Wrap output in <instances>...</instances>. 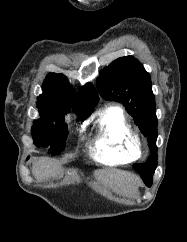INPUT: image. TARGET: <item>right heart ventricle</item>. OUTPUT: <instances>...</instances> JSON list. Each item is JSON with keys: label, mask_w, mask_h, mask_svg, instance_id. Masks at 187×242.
<instances>
[{"label": "right heart ventricle", "mask_w": 187, "mask_h": 242, "mask_svg": "<svg viewBox=\"0 0 187 242\" xmlns=\"http://www.w3.org/2000/svg\"><path fill=\"white\" fill-rule=\"evenodd\" d=\"M92 156L107 165L126 164L138 159L141 146L123 110L109 106L99 112Z\"/></svg>", "instance_id": "e07e8e85"}]
</instances>
